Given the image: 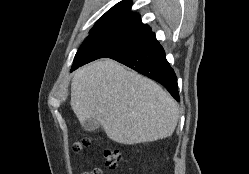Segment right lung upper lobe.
<instances>
[{
	"label": "right lung upper lobe",
	"mask_w": 249,
	"mask_h": 174,
	"mask_svg": "<svg viewBox=\"0 0 249 174\" xmlns=\"http://www.w3.org/2000/svg\"><path fill=\"white\" fill-rule=\"evenodd\" d=\"M123 25L149 27L141 22L139 14L131 12V0H123L113 6L97 21L91 31Z\"/></svg>",
	"instance_id": "cb5924a9"
}]
</instances>
